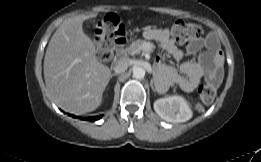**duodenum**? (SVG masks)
I'll return each mask as SVG.
<instances>
[{
    "mask_svg": "<svg viewBox=\"0 0 261 162\" xmlns=\"http://www.w3.org/2000/svg\"><path fill=\"white\" fill-rule=\"evenodd\" d=\"M124 44H125V42H124V43H120V44L114 45V47L117 46V50H118V52L120 53V55L123 54Z\"/></svg>",
    "mask_w": 261,
    "mask_h": 162,
    "instance_id": "obj_1",
    "label": "duodenum"
}]
</instances>
